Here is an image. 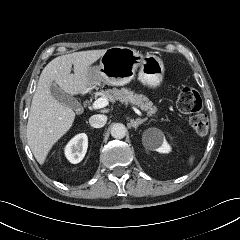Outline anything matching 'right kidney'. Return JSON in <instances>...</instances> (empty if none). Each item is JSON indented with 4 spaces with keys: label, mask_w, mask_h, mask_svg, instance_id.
<instances>
[{
    "label": "right kidney",
    "mask_w": 240,
    "mask_h": 240,
    "mask_svg": "<svg viewBox=\"0 0 240 240\" xmlns=\"http://www.w3.org/2000/svg\"><path fill=\"white\" fill-rule=\"evenodd\" d=\"M88 148V137L85 133H81L72 138L65 147V155L67 159L77 164L81 162Z\"/></svg>",
    "instance_id": "ca27d5eb"
}]
</instances>
